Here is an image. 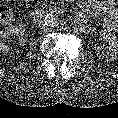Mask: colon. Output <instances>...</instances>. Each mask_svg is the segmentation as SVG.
I'll return each mask as SVG.
<instances>
[{
  "label": "colon",
  "mask_w": 118,
  "mask_h": 118,
  "mask_svg": "<svg viewBox=\"0 0 118 118\" xmlns=\"http://www.w3.org/2000/svg\"><path fill=\"white\" fill-rule=\"evenodd\" d=\"M26 1L31 4H34L38 0H26ZM12 19H13V14L11 10L3 2L0 1V26L11 23Z\"/></svg>",
  "instance_id": "obj_1"
}]
</instances>
